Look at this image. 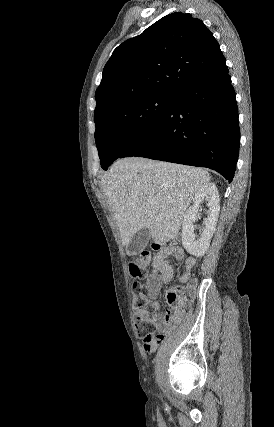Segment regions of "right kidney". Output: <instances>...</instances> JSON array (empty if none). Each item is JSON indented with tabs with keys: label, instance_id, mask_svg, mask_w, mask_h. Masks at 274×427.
Instances as JSON below:
<instances>
[{
	"label": "right kidney",
	"instance_id": "right-kidney-1",
	"mask_svg": "<svg viewBox=\"0 0 274 427\" xmlns=\"http://www.w3.org/2000/svg\"><path fill=\"white\" fill-rule=\"evenodd\" d=\"M203 200L208 202L207 206L210 208L208 217H204V229L201 233L200 239H195L194 221L197 219L198 208ZM219 192L215 184H204L194 196L193 206L187 210L182 221V245L188 253L195 255V257H202L209 249L210 239L215 233L216 223L219 217Z\"/></svg>",
	"mask_w": 274,
	"mask_h": 427
}]
</instances>
